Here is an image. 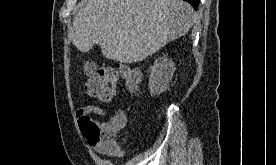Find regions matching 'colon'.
<instances>
[{"label":"colon","instance_id":"5ec220e1","mask_svg":"<svg viewBox=\"0 0 276 165\" xmlns=\"http://www.w3.org/2000/svg\"><path fill=\"white\" fill-rule=\"evenodd\" d=\"M84 74L87 94L103 102H109L116 96L120 78L124 80L127 88L133 92L138 90L141 80L140 72L128 65H121L117 68L110 66L98 68L95 63L86 62ZM125 123L126 115L123 113L117 114L109 127H104L90 116H84L79 120L82 133L89 145L102 144L113 152L119 150L115 132Z\"/></svg>","mask_w":276,"mask_h":165}]
</instances>
